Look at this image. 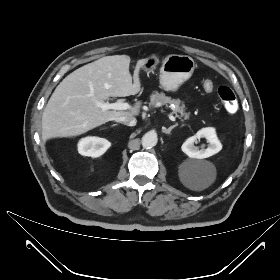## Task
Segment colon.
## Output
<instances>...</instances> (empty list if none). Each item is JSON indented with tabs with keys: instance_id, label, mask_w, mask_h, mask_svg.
Masks as SVG:
<instances>
[{
	"instance_id": "5ec220e1",
	"label": "colon",
	"mask_w": 280,
	"mask_h": 280,
	"mask_svg": "<svg viewBox=\"0 0 280 280\" xmlns=\"http://www.w3.org/2000/svg\"><path fill=\"white\" fill-rule=\"evenodd\" d=\"M204 88L206 91L213 90V83L209 80L204 81ZM218 95L223 102L225 109L230 113H235L238 110V101L233 90L227 86H220L218 88Z\"/></svg>"
}]
</instances>
